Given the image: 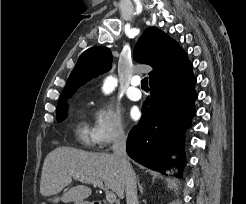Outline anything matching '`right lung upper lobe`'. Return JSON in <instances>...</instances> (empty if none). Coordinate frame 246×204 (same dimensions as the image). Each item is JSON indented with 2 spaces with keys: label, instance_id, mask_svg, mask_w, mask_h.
<instances>
[{
  "label": "right lung upper lobe",
  "instance_id": "right-lung-upper-lobe-1",
  "mask_svg": "<svg viewBox=\"0 0 246 204\" xmlns=\"http://www.w3.org/2000/svg\"><path fill=\"white\" fill-rule=\"evenodd\" d=\"M134 59L153 67L150 82L160 76L190 65L187 54L179 44L156 27H148L138 40L133 53ZM112 54L107 47H92L79 57L71 72L61 98L71 97L75 91L111 67Z\"/></svg>",
  "mask_w": 246,
  "mask_h": 204
}]
</instances>
